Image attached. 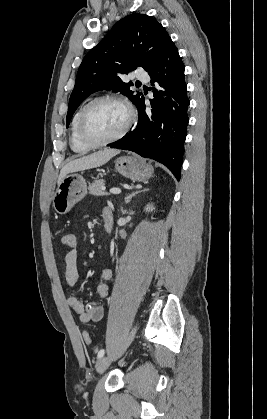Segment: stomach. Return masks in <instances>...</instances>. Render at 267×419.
<instances>
[{
    "mask_svg": "<svg viewBox=\"0 0 267 419\" xmlns=\"http://www.w3.org/2000/svg\"><path fill=\"white\" fill-rule=\"evenodd\" d=\"M116 170L132 181L142 182L152 177L153 167L137 156H122L115 161ZM87 193L82 175L68 173L59 183L53 196V208L57 214L68 213Z\"/></svg>",
    "mask_w": 267,
    "mask_h": 419,
    "instance_id": "obj_1",
    "label": "stomach"
}]
</instances>
